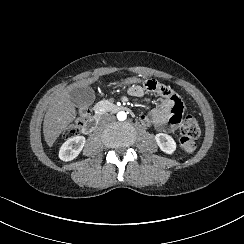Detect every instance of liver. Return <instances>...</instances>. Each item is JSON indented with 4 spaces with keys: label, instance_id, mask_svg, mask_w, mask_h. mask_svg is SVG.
Listing matches in <instances>:
<instances>
[{
    "label": "liver",
    "instance_id": "obj_1",
    "mask_svg": "<svg viewBox=\"0 0 244 244\" xmlns=\"http://www.w3.org/2000/svg\"><path fill=\"white\" fill-rule=\"evenodd\" d=\"M96 80V77L82 79L57 92L56 96L52 98L43 122L44 139L49 147L53 146L57 137L76 117V110L69 95L73 87H86Z\"/></svg>",
    "mask_w": 244,
    "mask_h": 244
}]
</instances>
